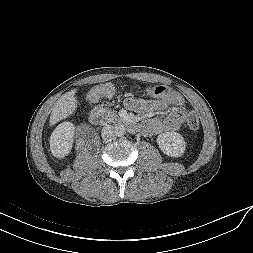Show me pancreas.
I'll use <instances>...</instances> for the list:
<instances>
[{
  "label": "pancreas",
  "instance_id": "obj_1",
  "mask_svg": "<svg viewBox=\"0 0 253 253\" xmlns=\"http://www.w3.org/2000/svg\"><path fill=\"white\" fill-rule=\"evenodd\" d=\"M105 120L106 122H114L115 120H117V115L114 111L112 110H108L107 114L105 115Z\"/></svg>",
  "mask_w": 253,
  "mask_h": 253
}]
</instances>
